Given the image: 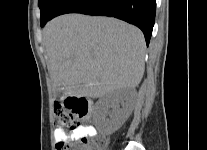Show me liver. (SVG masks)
Returning <instances> with one entry per match:
<instances>
[{
    "label": "liver",
    "instance_id": "liver-1",
    "mask_svg": "<svg viewBox=\"0 0 207 150\" xmlns=\"http://www.w3.org/2000/svg\"><path fill=\"white\" fill-rule=\"evenodd\" d=\"M43 38L53 90L65 97H103L142 80L144 36L126 22L66 14L46 25Z\"/></svg>",
    "mask_w": 207,
    "mask_h": 150
}]
</instances>
